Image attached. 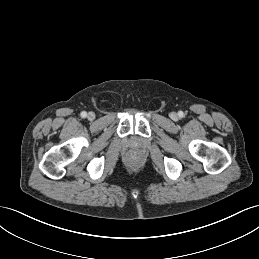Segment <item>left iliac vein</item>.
<instances>
[{
	"instance_id": "4c4485c4",
	"label": "left iliac vein",
	"mask_w": 259,
	"mask_h": 259,
	"mask_svg": "<svg viewBox=\"0 0 259 259\" xmlns=\"http://www.w3.org/2000/svg\"><path fill=\"white\" fill-rule=\"evenodd\" d=\"M171 118H172L173 120H177L178 115H177L175 112H173V113H171Z\"/></svg>"
}]
</instances>
